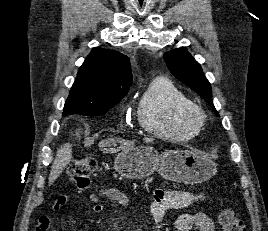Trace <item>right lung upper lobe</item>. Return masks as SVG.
Returning <instances> with one entry per match:
<instances>
[{
	"label": "right lung upper lobe",
	"mask_w": 268,
	"mask_h": 231,
	"mask_svg": "<svg viewBox=\"0 0 268 231\" xmlns=\"http://www.w3.org/2000/svg\"><path fill=\"white\" fill-rule=\"evenodd\" d=\"M130 60L113 50L93 48L71 88L66 103L95 105L121 100L132 84Z\"/></svg>",
	"instance_id": "obj_1"
}]
</instances>
